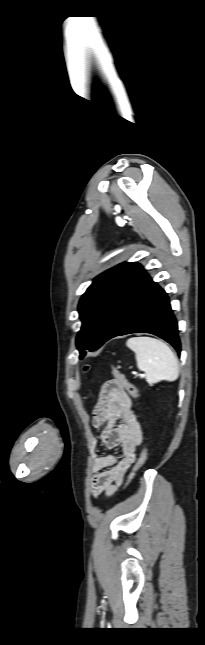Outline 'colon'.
I'll list each match as a JSON object with an SVG mask.
<instances>
[{
	"label": "colon",
	"mask_w": 205,
	"mask_h": 645,
	"mask_svg": "<svg viewBox=\"0 0 205 645\" xmlns=\"http://www.w3.org/2000/svg\"><path fill=\"white\" fill-rule=\"evenodd\" d=\"M86 369H87V367H86ZM111 370H112V374L114 376V379L109 380L107 382L108 383V388L110 390H115V391H126L132 397L138 398L139 394H138V390L136 389V387L133 384H131L124 377V375L121 372H119L118 369H116L115 367L112 366ZM147 456H148V450H147V446L145 445L144 448L142 449V451L140 452V455H139V457H138V459H137L132 471L130 472V474L128 476L126 486H128L133 481V479L135 478L137 472L143 467V465L145 464V462L147 460Z\"/></svg>",
	"instance_id": "colon-1"
}]
</instances>
